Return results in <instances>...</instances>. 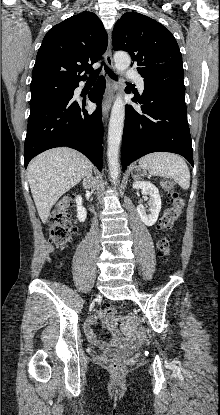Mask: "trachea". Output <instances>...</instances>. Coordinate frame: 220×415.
<instances>
[{
    "label": "trachea",
    "mask_w": 220,
    "mask_h": 415,
    "mask_svg": "<svg viewBox=\"0 0 220 415\" xmlns=\"http://www.w3.org/2000/svg\"><path fill=\"white\" fill-rule=\"evenodd\" d=\"M104 64V63H103ZM104 68H105V71H106V73L111 77V78H113L114 80H118V77L116 76V74L113 72V71H111L105 64H104ZM100 71H101V68H98L97 70H95L94 72H92L91 74H90V76H89V79H96L97 78V76L99 75V73H100Z\"/></svg>",
    "instance_id": "1"
}]
</instances>
